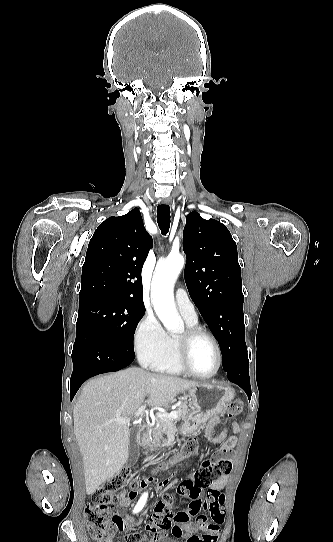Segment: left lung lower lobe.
I'll list each match as a JSON object with an SVG mask.
<instances>
[{
  "instance_id": "1",
  "label": "left lung lower lobe",
  "mask_w": 333,
  "mask_h": 542,
  "mask_svg": "<svg viewBox=\"0 0 333 542\" xmlns=\"http://www.w3.org/2000/svg\"><path fill=\"white\" fill-rule=\"evenodd\" d=\"M227 378L241 387L251 399V386L249 379V360L248 355H244L234 362V364L225 371Z\"/></svg>"
}]
</instances>
